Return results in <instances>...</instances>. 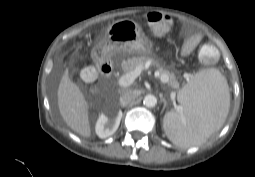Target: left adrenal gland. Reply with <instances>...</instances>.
<instances>
[{"label": "left adrenal gland", "mask_w": 255, "mask_h": 177, "mask_svg": "<svg viewBox=\"0 0 255 177\" xmlns=\"http://www.w3.org/2000/svg\"><path fill=\"white\" fill-rule=\"evenodd\" d=\"M163 102H164V107H165V105H166V102H165V100L163 99Z\"/></svg>", "instance_id": "left-adrenal-gland-1"}]
</instances>
